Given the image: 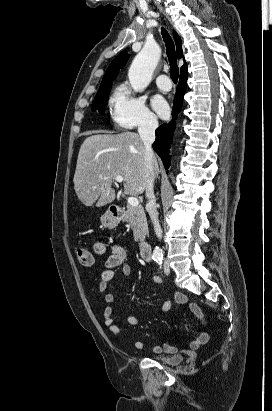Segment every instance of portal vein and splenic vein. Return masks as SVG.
<instances>
[{
	"label": "portal vein and splenic vein",
	"instance_id": "18ae733b",
	"mask_svg": "<svg viewBox=\"0 0 272 411\" xmlns=\"http://www.w3.org/2000/svg\"><path fill=\"white\" fill-rule=\"evenodd\" d=\"M103 179L104 180H106L107 179V177H103ZM115 180L117 181V182H123V181H125V178L123 177V176H121V175H117L116 177H115ZM128 204L129 205H131V206H139V200L136 198V197H134V196H129L128 197Z\"/></svg>",
	"mask_w": 272,
	"mask_h": 411
}]
</instances>
